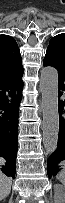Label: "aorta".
<instances>
[{
	"mask_svg": "<svg viewBox=\"0 0 65 203\" xmlns=\"http://www.w3.org/2000/svg\"><path fill=\"white\" fill-rule=\"evenodd\" d=\"M40 91L42 94L43 145L47 154L57 149L59 134L58 73L54 67L41 70Z\"/></svg>",
	"mask_w": 65,
	"mask_h": 203,
	"instance_id": "obj_1",
	"label": "aorta"
}]
</instances>
